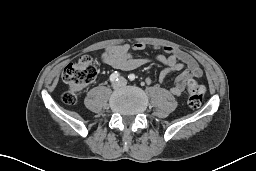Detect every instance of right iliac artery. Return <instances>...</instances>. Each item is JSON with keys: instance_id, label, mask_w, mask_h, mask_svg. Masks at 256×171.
<instances>
[{"instance_id": "right-iliac-artery-1", "label": "right iliac artery", "mask_w": 256, "mask_h": 171, "mask_svg": "<svg viewBox=\"0 0 256 171\" xmlns=\"http://www.w3.org/2000/svg\"><path fill=\"white\" fill-rule=\"evenodd\" d=\"M119 77H120V74L117 71H115L110 75V81L111 82L118 81Z\"/></svg>"}]
</instances>
